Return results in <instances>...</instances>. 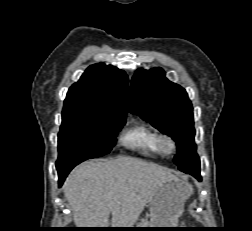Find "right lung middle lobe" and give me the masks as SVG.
I'll list each match as a JSON object with an SVG mask.
<instances>
[{"instance_id": "right-lung-middle-lobe-1", "label": "right lung middle lobe", "mask_w": 252, "mask_h": 231, "mask_svg": "<svg viewBox=\"0 0 252 231\" xmlns=\"http://www.w3.org/2000/svg\"><path fill=\"white\" fill-rule=\"evenodd\" d=\"M125 122V115L84 109H63L58 134L57 170L108 154Z\"/></svg>"}]
</instances>
